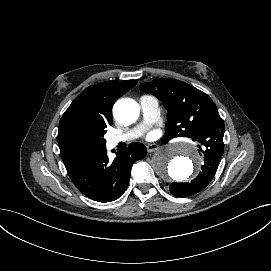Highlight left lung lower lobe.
<instances>
[{
  "label": "left lung lower lobe",
  "instance_id": "obj_1",
  "mask_svg": "<svg viewBox=\"0 0 271 271\" xmlns=\"http://www.w3.org/2000/svg\"><path fill=\"white\" fill-rule=\"evenodd\" d=\"M200 151L204 155L205 164L202 166V171L190 183H172L169 186L170 192L180 198L188 197L203 190L213 179L219 166L223 151L217 147H208Z\"/></svg>",
  "mask_w": 271,
  "mask_h": 271
}]
</instances>
